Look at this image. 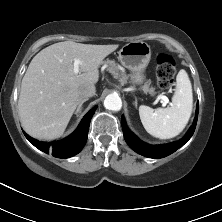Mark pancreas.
Returning a JSON list of instances; mask_svg holds the SVG:
<instances>
[{
  "label": "pancreas",
  "instance_id": "obj_1",
  "mask_svg": "<svg viewBox=\"0 0 222 222\" xmlns=\"http://www.w3.org/2000/svg\"><path fill=\"white\" fill-rule=\"evenodd\" d=\"M104 65H106V70L109 71V73H111L114 78L119 79V82L121 83V85H124L127 83V79L128 77L126 76V74L124 73V71L121 69V67L117 66L116 63L112 60H106L103 62ZM150 81L146 82L143 86H142V90L145 93H150V94H155V88L150 87Z\"/></svg>",
  "mask_w": 222,
  "mask_h": 222
}]
</instances>
